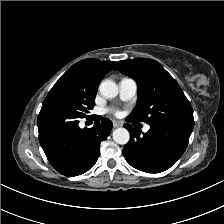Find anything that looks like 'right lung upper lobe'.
<instances>
[{
  "label": "right lung upper lobe",
  "instance_id": "cb5924a9",
  "mask_svg": "<svg viewBox=\"0 0 224 224\" xmlns=\"http://www.w3.org/2000/svg\"><path fill=\"white\" fill-rule=\"evenodd\" d=\"M115 62L84 59L74 64L67 72L82 76L97 87L106 73L112 70Z\"/></svg>",
  "mask_w": 224,
  "mask_h": 224
}]
</instances>
